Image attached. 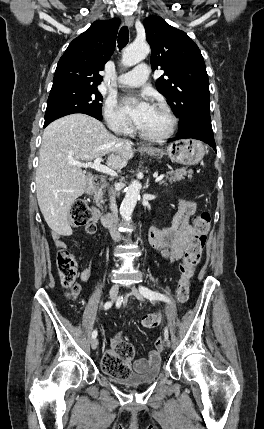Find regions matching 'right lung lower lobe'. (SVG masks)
<instances>
[{
    "label": "right lung lower lobe",
    "instance_id": "1",
    "mask_svg": "<svg viewBox=\"0 0 264 429\" xmlns=\"http://www.w3.org/2000/svg\"><path fill=\"white\" fill-rule=\"evenodd\" d=\"M48 124H44V127H46Z\"/></svg>",
    "mask_w": 264,
    "mask_h": 429
}]
</instances>
